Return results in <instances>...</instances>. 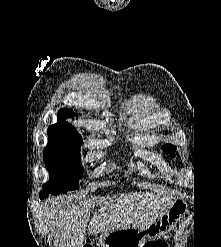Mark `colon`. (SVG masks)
I'll return each instance as SVG.
<instances>
[{"label":"colon","mask_w":221,"mask_h":247,"mask_svg":"<svg viewBox=\"0 0 221 247\" xmlns=\"http://www.w3.org/2000/svg\"><path fill=\"white\" fill-rule=\"evenodd\" d=\"M156 245L154 243L148 242L145 244L144 247H155ZM84 247H93L91 243H87Z\"/></svg>","instance_id":"1"}]
</instances>
